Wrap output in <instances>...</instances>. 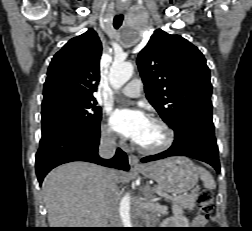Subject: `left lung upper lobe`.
<instances>
[{
  "mask_svg": "<svg viewBox=\"0 0 252 231\" xmlns=\"http://www.w3.org/2000/svg\"><path fill=\"white\" fill-rule=\"evenodd\" d=\"M137 65L147 99L171 127L191 113L212 115L210 71L189 41L158 29L140 51Z\"/></svg>",
  "mask_w": 252,
  "mask_h": 231,
  "instance_id": "1",
  "label": "left lung upper lobe"
}]
</instances>
